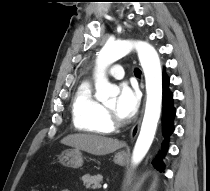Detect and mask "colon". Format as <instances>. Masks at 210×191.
Instances as JSON below:
<instances>
[{"label":"colon","instance_id":"5ec220e1","mask_svg":"<svg viewBox=\"0 0 210 191\" xmlns=\"http://www.w3.org/2000/svg\"><path fill=\"white\" fill-rule=\"evenodd\" d=\"M30 191H40V190H38V189H32V190H30Z\"/></svg>","mask_w":210,"mask_h":191}]
</instances>
